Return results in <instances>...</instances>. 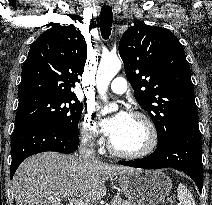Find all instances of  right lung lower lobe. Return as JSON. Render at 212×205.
<instances>
[{
	"label": "right lung lower lobe",
	"mask_w": 212,
	"mask_h": 205,
	"mask_svg": "<svg viewBox=\"0 0 212 205\" xmlns=\"http://www.w3.org/2000/svg\"><path fill=\"white\" fill-rule=\"evenodd\" d=\"M78 144V134L71 133L56 124L31 122L16 126L11 142V179L25 158L46 151L69 154L77 150Z\"/></svg>",
	"instance_id": "obj_1"
}]
</instances>
